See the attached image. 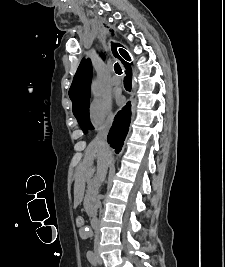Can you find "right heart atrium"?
I'll return each mask as SVG.
<instances>
[{
    "label": "right heart atrium",
    "instance_id": "d8ad5b80",
    "mask_svg": "<svg viewBox=\"0 0 225 267\" xmlns=\"http://www.w3.org/2000/svg\"><path fill=\"white\" fill-rule=\"evenodd\" d=\"M89 117L94 128H102L113 121L112 102L109 97L97 96L89 106Z\"/></svg>",
    "mask_w": 225,
    "mask_h": 267
}]
</instances>
